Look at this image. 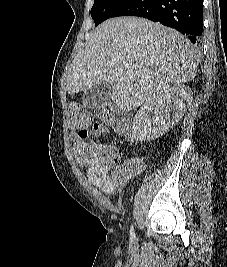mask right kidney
Instances as JSON below:
<instances>
[{
  "label": "right kidney",
  "mask_w": 227,
  "mask_h": 267,
  "mask_svg": "<svg viewBox=\"0 0 227 267\" xmlns=\"http://www.w3.org/2000/svg\"><path fill=\"white\" fill-rule=\"evenodd\" d=\"M189 86L175 85L145 102L135 115L132 137L135 141L154 140L182 118L193 97Z\"/></svg>",
  "instance_id": "right-kidney-1"
}]
</instances>
